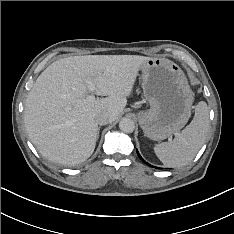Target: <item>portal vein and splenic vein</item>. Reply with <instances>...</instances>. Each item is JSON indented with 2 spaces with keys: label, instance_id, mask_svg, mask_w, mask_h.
<instances>
[{
  "label": "portal vein and splenic vein",
  "instance_id": "obj_1",
  "mask_svg": "<svg viewBox=\"0 0 234 234\" xmlns=\"http://www.w3.org/2000/svg\"><path fill=\"white\" fill-rule=\"evenodd\" d=\"M87 87H88V89H89V91L91 93L90 95H88L87 99L89 101H94L95 100L94 92H95L96 86L92 81L88 80L87 81Z\"/></svg>",
  "mask_w": 234,
  "mask_h": 234
}]
</instances>
